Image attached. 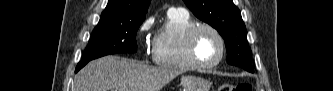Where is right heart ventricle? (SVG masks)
I'll return each mask as SVG.
<instances>
[{
    "instance_id": "1",
    "label": "right heart ventricle",
    "mask_w": 333,
    "mask_h": 91,
    "mask_svg": "<svg viewBox=\"0 0 333 91\" xmlns=\"http://www.w3.org/2000/svg\"><path fill=\"white\" fill-rule=\"evenodd\" d=\"M196 25L184 10H170L153 42V61L164 68L191 71L198 67L191 61L186 45L187 33Z\"/></svg>"
}]
</instances>
